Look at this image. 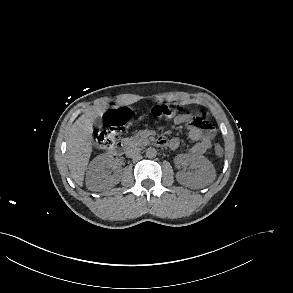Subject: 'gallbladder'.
I'll list each match as a JSON object with an SVG mask.
<instances>
[{
  "label": "gallbladder",
  "mask_w": 293,
  "mask_h": 293,
  "mask_svg": "<svg viewBox=\"0 0 293 293\" xmlns=\"http://www.w3.org/2000/svg\"><path fill=\"white\" fill-rule=\"evenodd\" d=\"M94 124L98 127L101 128L102 127V117L101 114H99L98 116H96L94 118Z\"/></svg>",
  "instance_id": "gallbladder-1"
}]
</instances>
